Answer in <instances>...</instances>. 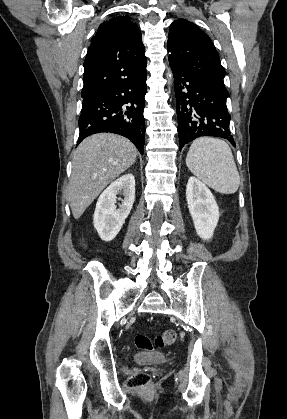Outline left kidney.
<instances>
[{
  "label": "left kidney",
  "mask_w": 287,
  "mask_h": 419,
  "mask_svg": "<svg viewBox=\"0 0 287 419\" xmlns=\"http://www.w3.org/2000/svg\"><path fill=\"white\" fill-rule=\"evenodd\" d=\"M186 200L197 234L203 240L211 239L220 216L213 194L192 176L186 186Z\"/></svg>",
  "instance_id": "obj_1"
}]
</instances>
